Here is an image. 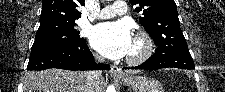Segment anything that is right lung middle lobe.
I'll use <instances>...</instances> for the list:
<instances>
[{
	"mask_svg": "<svg viewBox=\"0 0 225 92\" xmlns=\"http://www.w3.org/2000/svg\"><path fill=\"white\" fill-rule=\"evenodd\" d=\"M75 22H49L40 24L31 51H38L53 47L76 45L84 41L79 31L75 29Z\"/></svg>",
	"mask_w": 225,
	"mask_h": 92,
	"instance_id": "right-lung-middle-lobe-1",
	"label": "right lung middle lobe"
}]
</instances>
